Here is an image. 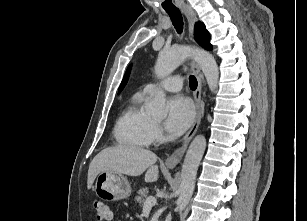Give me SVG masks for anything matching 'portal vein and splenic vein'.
I'll return each mask as SVG.
<instances>
[{
	"label": "portal vein and splenic vein",
	"instance_id": "1",
	"mask_svg": "<svg viewBox=\"0 0 307 221\" xmlns=\"http://www.w3.org/2000/svg\"><path fill=\"white\" fill-rule=\"evenodd\" d=\"M155 204H156V198L154 196H149L145 200L143 207L144 208H149V207L154 206Z\"/></svg>",
	"mask_w": 307,
	"mask_h": 221
}]
</instances>
